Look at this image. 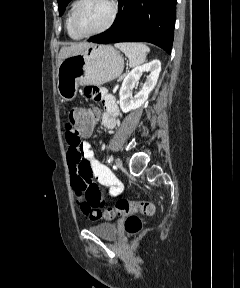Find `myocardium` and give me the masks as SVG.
Instances as JSON below:
<instances>
[{"label":"myocardium","mask_w":240,"mask_h":288,"mask_svg":"<svg viewBox=\"0 0 240 288\" xmlns=\"http://www.w3.org/2000/svg\"><path fill=\"white\" fill-rule=\"evenodd\" d=\"M86 1L87 0H78V3H77V5L73 11L72 20H71L73 30L81 37L94 36V35L103 33L106 30H108L113 25V23L116 19V15H117V3L115 2V0H108V2L110 4L111 11H110V15H109L107 22L101 28H99L95 31L84 33V32H81L77 26V16H78V13H79L81 7L83 6V4Z\"/></svg>","instance_id":"1"}]
</instances>
